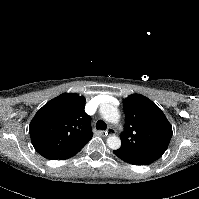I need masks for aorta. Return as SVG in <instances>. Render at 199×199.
Segmentation results:
<instances>
[{"label":"aorta","mask_w":199,"mask_h":199,"mask_svg":"<svg viewBox=\"0 0 199 199\" xmlns=\"http://www.w3.org/2000/svg\"><path fill=\"white\" fill-rule=\"evenodd\" d=\"M100 113L102 117L110 123L116 124L120 120V113L116 107L107 104L100 108ZM107 145L113 150H117L121 146V139L117 136H110L107 139Z\"/></svg>","instance_id":"aorta-1"}]
</instances>
